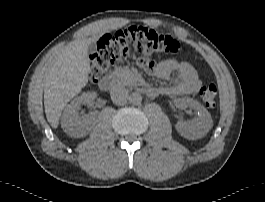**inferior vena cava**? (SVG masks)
<instances>
[{
  "instance_id": "obj_1",
  "label": "inferior vena cava",
  "mask_w": 265,
  "mask_h": 202,
  "mask_svg": "<svg viewBox=\"0 0 265 202\" xmlns=\"http://www.w3.org/2000/svg\"><path fill=\"white\" fill-rule=\"evenodd\" d=\"M111 99L116 105H123L129 99L128 89L123 86H116L111 90Z\"/></svg>"
}]
</instances>
